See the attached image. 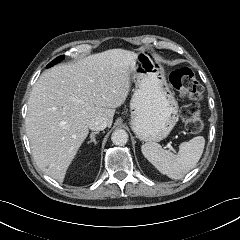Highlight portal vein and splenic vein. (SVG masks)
<instances>
[{
	"label": "portal vein and splenic vein",
	"mask_w": 240,
	"mask_h": 240,
	"mask_svg": "<svg viewBox=\"0 0 240 240\" xmlns=\"http://www.w3.org/2000/svg\"><path fill=\"white\" fill-rule=\"evenodd\" d=\"M167 148H169L172 151H175L170 144L167 145Z\"/></svg>",
	"instance_id": "18ae733b"
}]
</instances>
